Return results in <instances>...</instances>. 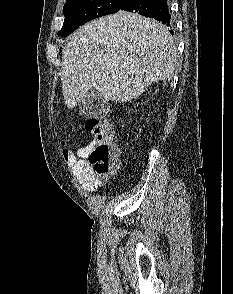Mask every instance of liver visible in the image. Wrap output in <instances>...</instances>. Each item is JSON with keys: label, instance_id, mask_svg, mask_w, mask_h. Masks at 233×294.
Here are the masks:
<instances>
[{"label": "liver", "instance_id": "1", "mask_svg": "<svg viewBox=\"0 0 233 294\" xmlns=\"http://www.w3.org/2000/svg\"><path fill=\"white\" fill-rule=\"evenodd\" d=\"M177 47L153 19L119 11L79 28L62 51V91L69 109L92 88L105 101L128 102L157 81L170 80Z\"/></svg>", "mask_w": 233, "mask_h": 294}]
</instances>
